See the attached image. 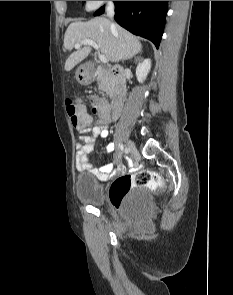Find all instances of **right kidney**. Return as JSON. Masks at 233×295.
<instances>
[{
    "mask_svg": "<svg viewBox=\"0 0 233 295\" xmlns=\"http://www.w3.org/2000/svg\"><path fill=\"white\" fill-rule=\"evenodd\" d=\"M150 68H151V61L150 59H145L144 61L140 62L136 68V76H137V80L142 83L149 71H150Z\"/></svg>",
    "mask_w": 233,
    "mask_h": 295,
    "instance_id": "1",
    "label": "right kidney"
}]
</instances>
